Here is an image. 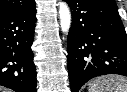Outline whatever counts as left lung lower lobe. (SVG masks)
<instances>
[{
    "mask_svg": "<svg viewBox=\"0 0 127 92\" xmlns=\"http://www.w3.org/2000/svg\"><path fill=\"white\" fill-rule=\"evenodd\" d=\"M66 1L72 14L67 48L71 92H78L97 76H127V35L117 6L93 0Z\"/></svg>",
    "mask_w": 127,
    "mask_h": 92,
    "instance_id": "1",
    "label": "left lung lower lobe"
}]
</instances>
